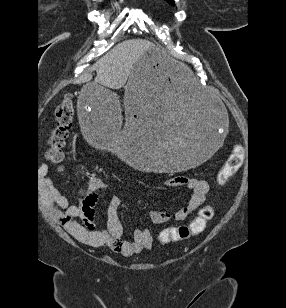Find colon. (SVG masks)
I'll list each match as a JSON object with an SVG mask.
<instances>
[{"label":"colon","mask_w":286,"mask_h":308,"mask_svg":"<svg viewBox=\"0 0 286 308\" xmlns=\"http://www.w3.org/2000/svg\"><path fill=\"white\" fill-rule=\"evenodd\" d=\"M75 114L73 101L66 95L57 106L54 126L48 139L49 148L47 158L54 164H60L64 158L63 148L69 136L72 121ZM244 161V148L237 144L218 173V183L225 185L231 177L240 169ZM213 208L203 206L197 217L187 225L167 227L158 234V242L162 245L174 241H181L202 233L207 222L213 217Z\"/></svg>","instance_id":"obj_1"}]
</instances>
